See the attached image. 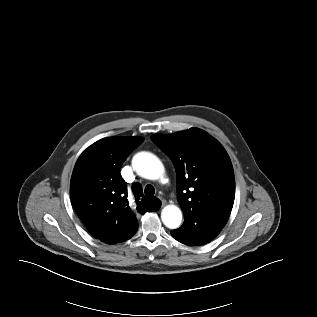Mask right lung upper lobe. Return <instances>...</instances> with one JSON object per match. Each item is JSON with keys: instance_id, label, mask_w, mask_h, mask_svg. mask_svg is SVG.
Returning a JSON list of instances; mask_svg holds the SVG:
<instances>
[{"instance_id": "right-lung-upper-lobe-1", "label": "right lung upper lobe", "mask_w": 317, "mask_h": 317, "mask_svg": "<svg viewBox=\"0 0 317 317\" xmlns=\"http://www.w3.org/2000/svg\"><path fill=\"white\" fill-rule=\"evenodd\" d=\"M142 142L141 137L101 139L81 154L74 167L70 183L74 209L89 232L107 244L131 238L138 229L137 214L161 206L159 199L144 197L139 183L132 186L133 199H127L121 166Z\"/></svg>"}]
</instances>
